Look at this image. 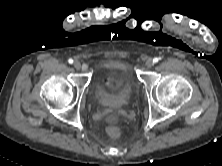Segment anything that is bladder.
<instances>
[{"label":"bladder","instance_id":"31cf9c89","mask_svg":"<svg viewBox=\"0 0 222 166\" xmlns=\"http://www.w3.org/2000/svg\"><path fill=\"white\" fill-rule=\"evenodd\" d=\"M112 70L121 76L126 75L125 65L118 63L112 66ZM134 85L129 78L115 92H108L103 88L101 82H97L94 86V99L96 103L105 108H121L126 106L133 95Z\"/></svg>","mask_w":222,"mask_h":166}]
</instances>
